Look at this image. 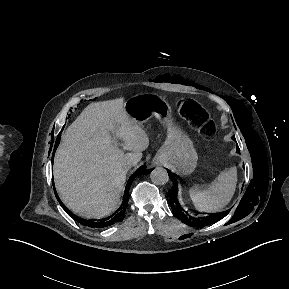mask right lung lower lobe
<instances>
[{"instance_id":"98d812e1","label":"right lung lower lobe","mask_w":289,"mask_h":289,"mask_svg":"<svg viewBox=\"0 0 289 289\" xmlns=\"http://www.w3.org/2000/svg\"><path fill=\"white\" fill-rule=\"evenodd\" d=\"M59 145V138L56 140L55 143V148H57ZM54 157V156H53ZM147 173V170H144L143 167L138 168L130 177V179L128 180V183L126 185L125 188V192H124V197H123V202L122 205L118 208V210H116L111 216L107 217V218H103V219H99V220H86L83 218H80L76 215H74L67 207H65L63 205V203L61 202L60 198L58 197L57 193L55 194L59 203L61 204V206L63 207V209L71 216L73 217L76 221L80 222L81 224L85 225V226H89L92 228H104V227H108L114 223H118L121 222L124 218V214H125V208L128 205V193H129V188L133 182V180L141 174ZM55 189V187H54Z\"/></svg>"}]
</instances>
